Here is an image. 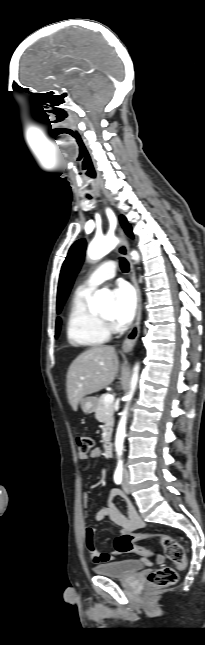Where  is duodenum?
I'll use <instances>...</instances> for the list:
<instances>
[{
  "label": "duodenum",
  "mask_w": 205,
  "mask_h": 645,
  "mask_svg": "<svg viewBox=\"0 0 205 645\" xmlns=\"http://www.w3.org/2000/svg\"><path fill=\"white\" fill-rule=\"evenodd\" d=\"M104 453L107 457H111L113 455V444L111 441H106L104 444Z\"/></svg>",
  "instance_id": "obj_1"
}]
</instances>
